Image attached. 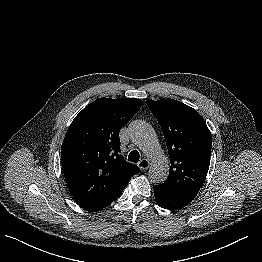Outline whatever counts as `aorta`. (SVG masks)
Returning a JSON list of instances; mask_svg holds the SVG:
<instances>
[{
	"label": "aorta",
	"instance_id": "1",
	"mask_svg": "<svg viewBox=\"0 0 262 262\" xmlns=\"http://www.w3.org/2000/svg\"><path fill=\"white\" fill-rule=\"evenodd\" d=\"M130 137L136 146L150 159L148 177L152 183H163L169 174V162L163 152L154 129L143 121H135L130 126Z\"/></svg>",
	"mask_w": 262,
	"mask_h": 262
}]
</instances>
